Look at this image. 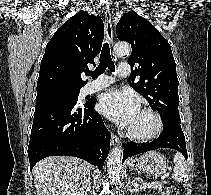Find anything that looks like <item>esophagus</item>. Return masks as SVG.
I'll list each match as a JSON object with an SVG mask.
<instances>
[{
	"mask_svg": "<svg viewBox=\"0 0 211 195\" xmlns=\"http://www.w3.org/2000/svg\"><path fill=\"white\" fill-rule=\"evenodd\" d=\"M105 35L108 43L110 45L113 44V27H112V19H111V12L109 9V6H106L105 8ZM112 57L114 60H117V56L115 54H112ZM111 142L113 145H120L121 141L120 139L115 135H111Z\"/></svg>",
	"mask_w": 211,
	"mask_h": 195,
	"instance_id": "obj_1",
	"label": "esophagus"
}]
</instances>
